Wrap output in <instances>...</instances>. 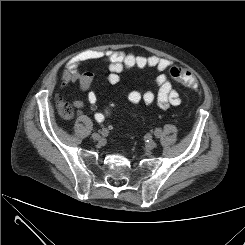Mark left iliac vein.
<instances>
[{"label": "left iliac vein", "instance_id": "left-iliac-vein-1", "mask_svg": "<svg viewBox=\"0 0 245 245\" xmlns=\"http://www.w3.org/2000/svg\"><path fill=\"white\" fill-rule=\"evenodd\" d=\"M146 147H147V149L152 150L156 147V142L154 140L150 139L146 143Z\"/></svg>", "mask_w": 245, "mask_h": 245}]
</instances>
